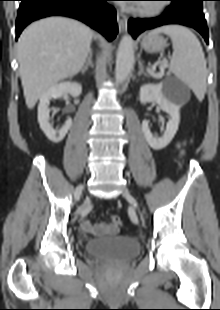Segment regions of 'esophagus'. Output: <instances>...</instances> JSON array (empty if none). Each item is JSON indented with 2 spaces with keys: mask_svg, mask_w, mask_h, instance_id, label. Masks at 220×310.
I'll return each instance as SVG.
<instances>
[{
  "mask_svg": "<svg viewBox=\"0 0 220 310\" xmlns=\"http://www.w3.org/2000/svg\"><path fill=\"white\" fill-rule=\"evenodd\" d=\"M117 23L120 32L127 30L128 18L124 13L117 12Z\"/></svg>",
  "mask_w": 220,
  "mask_h": 310,
  "instance_id": "34e87169",
  "label": "esophagus"
}]
</instances>
